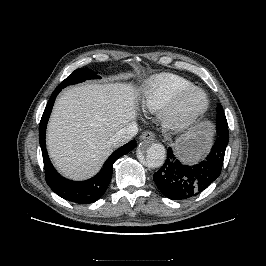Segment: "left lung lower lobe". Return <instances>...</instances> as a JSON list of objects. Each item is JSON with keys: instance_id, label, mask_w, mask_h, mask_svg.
I'll return each mask as SVG.
<instances>
[{"instance_id": "left-lung-lower-lobe-1", "label": "left lung lower lobe", "mask_w": 266, "mask_h": 266, "mask_svg": "<svg viewBox=\"0 0 266 266\" xmlns=\"http://www.w3.org/2000/svg\"><path fill=\"white\" fill-rule=\"evenodd\" d=\"M217 134L218 138L209 155L193 166L181 163L172 149L168 148L165 163L153 177L157 187L167 198L183 200L194 197L219 177L229 140L228 127L220 129Z\"/></svg>"}]
</instances>
